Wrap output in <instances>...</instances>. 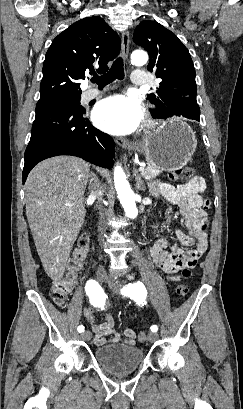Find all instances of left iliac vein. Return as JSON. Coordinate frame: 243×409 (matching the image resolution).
Segmentation results:
<instances>
[{
	"mask_svg": "<svg viewBox=\"0 0 243 409\" xmlns=\"http://www.w3.org/2000/svg\"><path fill=\"white\" fill-rule=\"evenodd\" d=\"M107 283L113 292L119 293V290L122 287V283L120 282V280L114 277H109L107 278ZM157 338H158V335L154 332H150L147 336V339L149 342H155Z\"/></svg>",
	"mask_w": 243,
	"mask_h": 409,
	"instance_id": "4c4485c4",
	"label": "left iliac vein"
}]
</instances>
